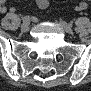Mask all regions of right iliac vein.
Returning <instances> with one entry per match:
<instances>
[{"instance_id":"1","label":"right iliac vein","mask_w":91,"mask_h":91,"mask_svg":"<svg viewBox=\"0 0 91 91\" xmlns=\"http://www.w3.org/2000/svg\"><path fill=\"white\" fill-rule=\"evenodd\" d=\"M29 23L30 21L28 22H23L22 25H21V31L22 32H27L29 30Z\"/></svg>"}]
</instances>
